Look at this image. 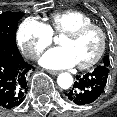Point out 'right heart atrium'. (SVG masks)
Returning a JSON list of instances; mask_svg holds the SVG:
<instances>
[{
  "mask_svg": "<svg viewBox=\"0 0 117 117\" xmlns=\"http://www.w3.org/2000/svg\"><path fill=\"white\" fill-rule=\"evenodd\" d=\"M16 38L24 55L35 60L52 43L53 34L45 23L27 18L18 27Z\"/></svg>",
  "mask_w": 117,
  "mask_h": 117,
  "instance_id": "obj_1",
  "label": "right heart atrium"
}]
</instances>
